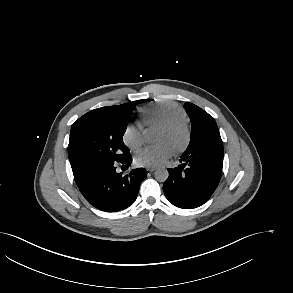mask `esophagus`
Returning a JSON list of instances; mask_svg holds the SVG:
<instances>
[{"label": "esophagus", "instance_id": "esophagus-1", "mask_svg": "<svg viewBox=\"0 0 293 293\" xmlns=\"http://www.w3.org/2000/svg\"><path fill=\"white\" fill-rule=\"evenodd\" d=\"M146 170H147L148 172H153V171L156 170V168H155V167H147Z\"/></svg>", "mask_w": 293, "mask_h": 293}]
</instances>
